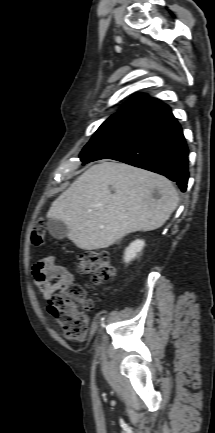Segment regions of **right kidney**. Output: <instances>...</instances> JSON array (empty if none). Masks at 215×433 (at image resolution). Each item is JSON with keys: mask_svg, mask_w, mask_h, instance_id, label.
<instances>
[{"mask_svg": "<svg viewBox=\"0 0 215 433\" xmlns=\"http://www.w3.org/2000/svg\"><path fill=\"white\" fill-rule=\"evenodd\" d=\"M145 242L143 240H135L132 242L125 250L124 261L129 263L131 260L136 258V256L142 251Z\"/></svg>", "mask_w": 215, "mask_h": 433, "instance_id": "right-kidney-1", "label": "right kidney"}]
</instances>
